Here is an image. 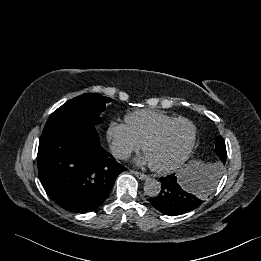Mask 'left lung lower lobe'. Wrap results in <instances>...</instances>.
Listing matches in <instances>:
<instances>
[{"mask_svg":"<svg viewBox=\"0 0 261 261\" xmlns=\"http://www.w3.org/2000/svg\"><path fill=\"white\" fill-rule=\"evenodd\" d=\"M225 164V163H224ZM222 163L204 167L195 174L189 188L181 184L180 175L161 177L159 195L150 199L151 204L166 215H180L200 206L213 190L220 177Z\"/></svg>","mask_w":261,"mask_h":261,"instance_id":"left-lung-lower-lobe-1","label":"left lung lower lobe"}]
</instances>
